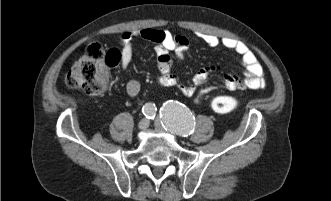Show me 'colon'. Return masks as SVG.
I'll return each mask as SVG.
<instances>
[{"instance_id": "obj_1", "label": "colon", "mask_w": 331, "mask_h": 201, "mask_svg": "<svg viewBox=\"0 0 331 201\" xmlns=\"http://www.w3.org/2000/svg\"><path fill=\"white\" fill-rule=\"evenodd\" d=\"M120 60L117 50H105L98 44H92L74 63L66 75L68 87L80 90L91 96H101L109 90L108 70ZM237 96H217L211 101V108L216 113H229L238 108Z\"/></svg>"}]
</instances>
